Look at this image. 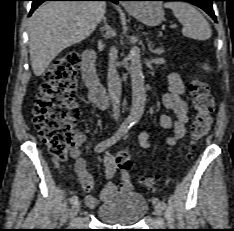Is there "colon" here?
Instances as JSON below:
<instances>
[{
	"label": "colon",
	"mask_w": 234,
	"mask_h": 231,
	"mask_svg": "<svg viewBox=\"0 0 234 231\" xmlns=\"http://www.w3.org/2000/svg\"><path fill=\"white\" fill-rule=\"evenodd\" d=\"M80 64L81 56L77 51L67 52L58 58L46 70L33 108L34 125L38 134L58 158H64L75 141L72 128L80 118V110L75 101ZM189 89L195 110L190 137L192 141H197L210 130L214 101L208 84L200 78H194ZM115 162L123 175L128 174L132 167L131 156L126 150L117 153ZM140 182L152 186L155 179L143 176Z\"/></svg>",
	"instance_id": "5ec220e1"
}]
</instances>
